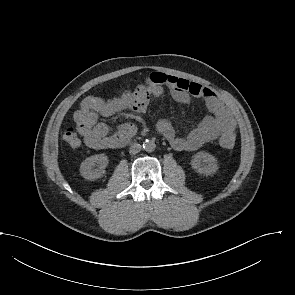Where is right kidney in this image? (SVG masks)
<instances>
[{"mask_svg":"<svg viewBox=\"0 0 295 295\" xmlns=\"http://www.w3.org/2000/svg\"><path fill=\"white\" fill-rule=\"evenodd\" d=\"M109 163L105 154H97L86 158L80 166L81 175L87 180L101 178L105 174V168ZM97 166V168H95Z\"/></svg>","mask_w":295,"mask_h":295,"instance_id":"ca27d5eb","label":"right kidney"}]
</instances>
